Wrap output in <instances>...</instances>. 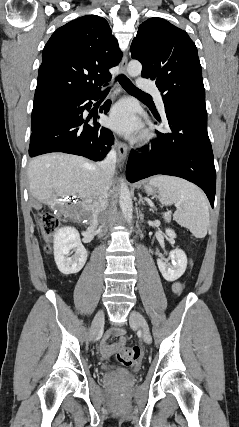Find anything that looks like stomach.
<instances>
[{"instance_id": "1", "label": "stomach", "mask_w": 239, "mask_h": 427, "mask_svg": "<svg viewBox=\"0 0 239 427\" xmlns=\"http://www.w3.org/2000/svg\"><path fill=\"white\" fill-rule=\"evenodd\" d=\"M144 189H145V191H146L148 194H153V193H155V192H156L155 187H154L153 185H151V184H146V185L144 186Z\"/></svg>"}]
</instances>
